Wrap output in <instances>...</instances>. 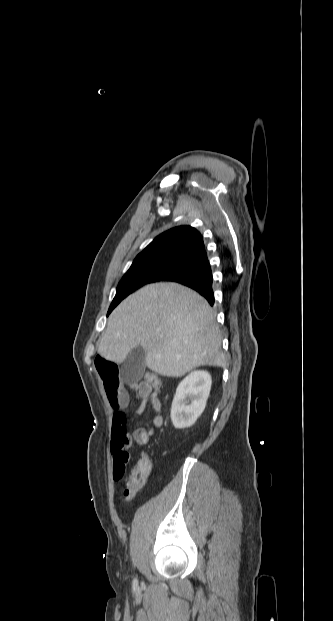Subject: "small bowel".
I'll use <instances>...</instances> for the list:
<instances>
[{"label":"small bowel","mask_w":333,"mask_h":621,"mask_svg":"<svg viewBox=\"0 0 333 621\" xmlns=\"http://www.w3.org/2000/svg\"><path fill=\"white\" fill-rule=\"evenodd\" d=\"M95 367L102 380L108 403L114 410L112 417V439L110 444L113 471L116 468L125 471L133 443L135 442L139 445L146 444L154 432L163 425L159 394L146 380L134 385V389L141 398L136 408V413L142 414L147 404H151L154 410V416L149 429L138 428L130 434L127 430V420L123 412L129 404V394L120 381L117 363L103 355H97L95 358Z\"/></svg>","instance_id":"c3829d8e"}]
</instances>
